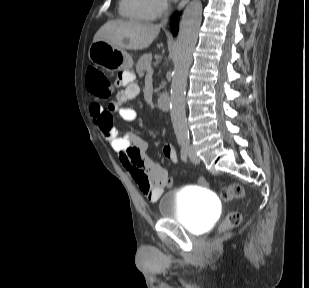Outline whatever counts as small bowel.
<instances>
[{"mask_svg":"<svg viewBox=\"0 0 309 288\" xmlns=\"http://www.w3.org/2000/svg\"><path fill=\"white\" fill-rule=\"evenodd\" d=\"M118 84L122 89L117 93L116 100L104 109L98 103L90 105V114L103 139L119 154L120 163L137 184L140 191L151 202H156L167 187L168 174L161 166L152 162L147 154V142L137 134L113 126V115L117 114L124 121L134 122L138 119L137 112L124 104L137 97L139 87L131 77L121 75ZM164 156L173 163L178 156L172 145L162 146Z\"/></svg>","mask_w":309,"mask_h":288,"instance_id":"1","label":"small bowel"}]
</instances>
